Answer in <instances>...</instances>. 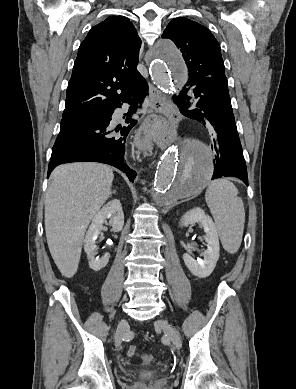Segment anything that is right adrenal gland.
Wrapping results in <instances>:
<instances>
[{"mask_svg": "<svg viewBox=\"0 0 296 389\" xmlns=\"http://www.w3.org/2000/svg\"><path fill=\"white\" fill-rule=\"evenodd\" d=\"M115 193H116V190L112 191V192H111V196H112V194H115Z\"/></svg>", "mask_w": 296, "mask_h": 389, "instance_id": "2a0ac1e0", "label": "right adrenal gland"}]
</instances>
